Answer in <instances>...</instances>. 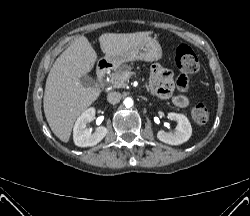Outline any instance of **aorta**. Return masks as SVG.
I'll use <instances>...</instances> for the list:
<instances>
[{
  "label": "aorta",
  "instance_id": "obj_1",
  "mask_svg": "<svg viewBox=\"0 0 250 216\" xmlns=\"http://www.w3.org/2000/svg\"><path fill=\"white\" fill-rule=\"evenodd\" d=\"M124 105H125L127 108L132 107V106H133V99L130 98V97L125 98V100H124Z\"/></svg>",
  "mask_w": 250,
  "mask_h": 216
}]
</instances>
